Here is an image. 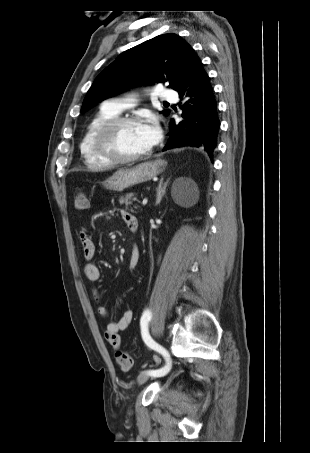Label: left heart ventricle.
<instances>
[{
	"instance_id": "left-heart-ventricle-1",
	"label": "left heart ventricle",
	"mask_w": 310,
	"mask_h": 453,
	"mask_svg": "<svg viewBox=\"0 0 310 453\" xmlns=\"http://www.w3.org/2000/svg\"><path fill=\"white\" fill-rule=\"evenodd\" d=\"M111 146L116 154L124 157L150 149L143 137L141 124H129L119 128L112 138Z\"/></svg>"
}]
</instances>
